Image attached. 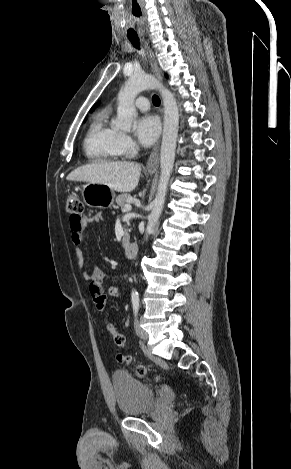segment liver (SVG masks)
<instances>
[{"instance_id": "1", "label": "liver", "mask_w": 291, "mask_h": 469, "mask_svg": "<svg viewBox=\"0 0 291 469\" xmlns=\"http://www.w3.org/2000/svg\"><path fill=\"white\" fill-rule=\"evenodd\" d=\"M141 165L130 161L87 164L72 171L68 181L105 184L117 192H130L138 186Z\"/></svg>"}]
</instances>
